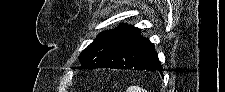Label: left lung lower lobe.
<instances>
[{
  "instance_id": "1",
  "label": "left lung lower lobe",
  "mask_w": 225,
  "mask_h": 92,
  "mask_svg": "<svg viewBox=\"0 0 225 92\" xmlns=\"http://www.w3.org/2000/svg\"><path fill=\"white\" fill-rule=\"evenodd\" d=\"M96 68L159 71L162 74V66L153 44L141 34L105 59Z\"/></svg>"
}]
</instances>
